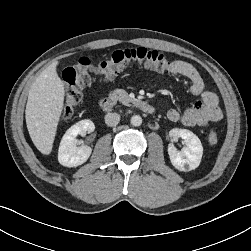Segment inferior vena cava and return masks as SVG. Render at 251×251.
<instances>
[{"instance_id": "obj_1", "label": "inferior vena cava", "mask_w": 251, "mask_h": 251, "mask_svg": "<svg viewBox=\"0 0 251 251\" xmlns=\"http://www.w3.org/2000/svg\"><path fill=\"white\" fill-rule=\"evenodd\" d=\"M120 121V115L117 114V113H108L106 116H105V123L108 125V126H116Z\"/></svg>"}]
</instances>
